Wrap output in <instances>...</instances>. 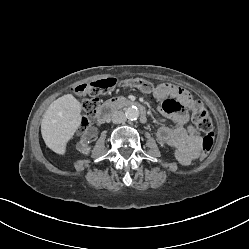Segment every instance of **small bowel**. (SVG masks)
Segmentation results:
<instances>
[{"mask_svg":"<svg viewBox=\"0 0 249 249\" xmlns=\"http://www.w3.org/2000/svg\"><path fill=\"white\" fill-rule=\"evenodd\" d=\"M159 111L172 119L176 126H162L157 131L158 139L173 147L178 161L183 165L190 164L199 155L201 136L197 128L189 123L190 114L195 112L199 101L187 90L171 84L162 83Z\"/></svg>","mask_w":249,"mask_h":249,"instance_id":"obj_1","label":"small bowel"}]
</instances>
